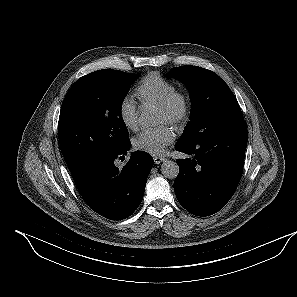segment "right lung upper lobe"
Listing matches in <instances>:
<instances>
[{"instance_id": "1", "label": "right lung upper lobe", "mask_w": 297, "mask_h": 297, "mask_svg": "<svg viewBox=\"0 0 297 297\" xmlns=\"http://www.w3.org/2000/svg\"><path fill=\"white\" fill-rule=\"evenodd\" d=\"M110 69H104V70H98L96 72H93V73H105V72H108Z\"/></svg>"}]
</instances>
